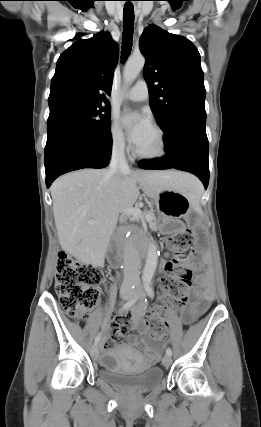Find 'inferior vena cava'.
Instances as JSON below:
<instances>
[{"label":"inferior vena cava","instance_id":"obj_1","mask_svg":"<svg viewBox=\"0 0 261 427\" xmlns=\"http://www.w3.org/2000/svg\"><path fill=\"white\" fill-rule=\"evenodd\" d=\"M125 158V145L123 142L114 144L110 162L109 174H124L129 172ZM124 280L125 285H138L140 283V256L131 239H127L123 248Z\"/></svg>","mask_w":261,"mask_h":427}]
</instances>
